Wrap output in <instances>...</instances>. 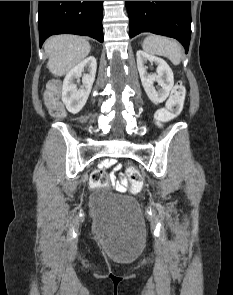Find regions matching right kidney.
Listing matches in <instances>:
<instances>
[{
  "label": "right kidney",
  "instance_id": "obj_1",
  "mask_svg": "<svg viewBox=\"0 0 233 295\" xmlns=\"http://www.w3.org/2000/svg\"><path fill=\"white\" fill-rule=\"evenodd\" d=\"M96 68V59L90 56L73 67L65 76L62 86V101L70 113L76 114L84 107L95 80ZM84 70H87L88 73L83 75V85L77 89L74 80L79 79Z\"/></svg>",
  "mask_w": 233,
  "mask_h": 295
}]
</instances>
